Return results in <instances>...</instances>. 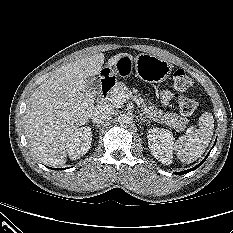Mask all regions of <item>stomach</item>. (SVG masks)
<instances>
[{"label": "stomach", "instance_id": "1", "mask_svg": "<svg viewBox=\"0 0 233 233\" xmlns=\"http://www.w3.org/2000/svg\"><path fill=\"white\" fill-rule=\"evenodd\" d=\"M134 63L137 76L148 83H159L165 81L171 74V64L163 58L151 54H139L135 58L126 54L115 64L130 66Z\"/></svg>", "mask_w": 233, "mask_h": 233}]
</instances>
